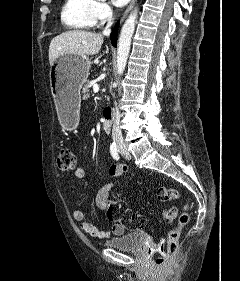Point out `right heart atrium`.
<instances>
[{"mask_svg": "<svg viewBox=\"0 0 240 281\" xmlns=\"http://www.w3.org/2000/svg\"><path fill=\"white\" fill-rule=\"evenodd\" d=\"M95 15L98 21H107L113 16V10L104 0L96 2Z\"/></svg>", "mask_w": 240, "mask_h": 281, "instance_id": "right-heart-atrium-1", "label": "right heart atrium"}]
</instances>
